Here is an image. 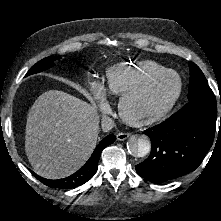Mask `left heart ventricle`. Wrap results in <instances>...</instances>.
I'll return each mask as SVG.
<instances>
[{"instance_id": "obj_1", "label": "left heart ventricle", "mask_w": 221, "mask_h": 221, "mask_svg": "<svg viewBox=\"0 0 221 221\" xmlns=\"http://www.w3.org/2000/svg\"><path fill=\"white\" fill-rule=\"evenodd\" d=\"M177 88V78L170 75L157 84L151 90L134 103V110L139 113L153 111L164 105Z\"/></svg>"}]
</instances>
